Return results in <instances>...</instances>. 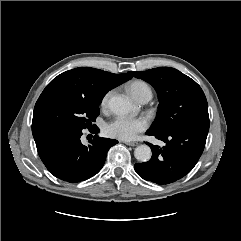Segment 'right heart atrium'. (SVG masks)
Returning a JSON list of instances; mask_svg holds the SVG:
<instances>
[{"label":"right heart atrium","mask_w":241,"mask_h":241,"mask_svg":"<svg viewBox=\"0 0 241 241\" xmlns=\"http://www.w3.org/2000/svg\"><path fill=\"white\" fill-rule=\"evenodd\" d=\"M112 95H113V90L107 91L103 95V97L101 99V102H100V106H101L102 109H106L108 107L109 101H110Z\"/></svg>","instance_id":"obj_1"}]
</instances>
